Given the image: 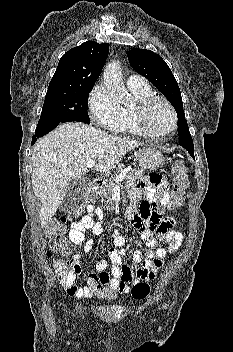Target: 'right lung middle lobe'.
Here are the masks:
<instances>
[{"label": "right lung middle lobe", "mask_w": 233, "mask_h": 352, "mask_svg": "<svg viewBox=\"0 0 233 352\" xmlns=\"http://www.w3.org/2000/svg\"><path fill=\"white\" fill-rule=\"evenodd\" d=\"M93 86L48 89L36 130L73 120L90 121L87 107Z\"/></svg>", "instance_id": "1"}]
</instances>
